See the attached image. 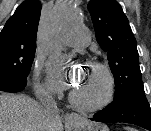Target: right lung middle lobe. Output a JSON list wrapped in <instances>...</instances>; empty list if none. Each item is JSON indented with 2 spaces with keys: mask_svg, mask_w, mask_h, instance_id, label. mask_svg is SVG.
I'll list each match as a JSON object with an SVG mask.
<instances>
[{
  "mask_svg": "<svg viewBox=\"0 0 151 131\" xmlns=\"http://www.w3.org/2000/svg\"><path fill=\"white\" fill-rule=\"evenodd\" d=\"M35 47L18 42L0 45V90L20 92L27 84Z\"/></svg>",
  "mask_w": 151,
  "mask_h": 131,
  "instance_id": "obj_1",
  "label": "right lung middle lobe"
}]
</instances>
